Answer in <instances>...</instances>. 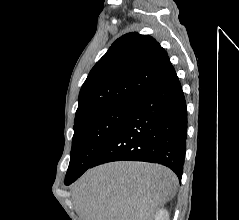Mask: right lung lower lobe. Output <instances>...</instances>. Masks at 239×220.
Listing matches in <instances>:
<instances>
[{
  "instance_id": "98d812e1",
  "label": "right lung lower lobe",
  "mask_w": 239,
  "mask_h": 220,
  "mask_svg": "<svg viewBox=\"0 0 239 220\" xmlns=\"http://www.w3.org/2000/svg\"><path fill=\"white\" fill-rule=\"evenodd\" d=\"M186 136V102L173 72L131 103L124 120L90 168L117 160L145 161L169 167L181 180Z\"/></svg>"
}]
</instances>
